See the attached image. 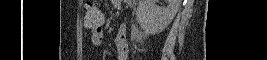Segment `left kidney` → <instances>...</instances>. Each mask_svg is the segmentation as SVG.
I'll return each mask as SVG.
<instances>
[{
  "label": "left kidney",
  "mask_w": 267,
  "mask_h": 60,
  "mask_svg": "<svg viewBox=\"0 0 267 60\" xmlns=\"http://www.w3.org/2000/svg\"><path fill=\"white\" fill-rule=\"evenodd\" d=\"M156 1L142 0L136 12L141 28L151 34L162 32L172 22L181 4V0H166L167 7L158 8Z\"/></svg>",
  "instance_id": "5707ae66"
}]
</instances>
